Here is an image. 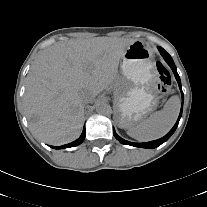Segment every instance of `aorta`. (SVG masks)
Returning <instances> with one entry per match:
<instances>
[{"mask_svg": "<svg viewBox=\"0 0 207 207\" xmlns=\"http://www.w3.org/2000/svg\"><path fill=\"white\" fill-rule=\"evenodd\" d=\"M96 111L99 114H104L105 115V114H108L111 111V107H110V105H108L105 102H100L96 105Z\"/></svg>", "mask_w": 207, "mask_h": 207, "instance_id": "obj_1", "label": "aorta"}]
</instances>
